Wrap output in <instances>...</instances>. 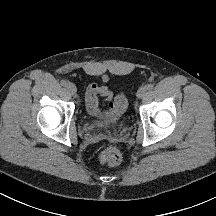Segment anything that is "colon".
Returning a JSON list of instances; mask_svg holds the SVG:
<instances>
[{"label":"colon","instance_id":"5ec220e1","mask_svg":"<svg viewBox=\"0 0 216 216\" xmlns=\"http://www.w3.org/2000/svg\"><path fill=\"white\" fill-rule=\"evenodd\" d=\"M127 107V99L123 95H119L113 102L112 111L116 115L122 114ZM99 161L103 165L114 166L120 163L121 153L114 146H107L102 149L99 155Z\"/></svg>","mask_w":216,"mask_h":216}]
</instances>
